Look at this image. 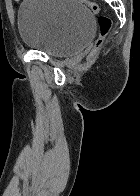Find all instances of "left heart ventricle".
<instances>
[{"label":"left heart ventricle","instance_id":"left-heart-ventricle-1","mask_svg":"<svg viewBox=\"0 0 140 196\" xmlns=\"http://www.w3.org/2000/svg\"><path fill=\"white\" fill-rule=\"evenodd\" d=\"M44 192H56V191H44Z\"/></svg>","mask_w":140,"mask_h":196}]
</instances>
